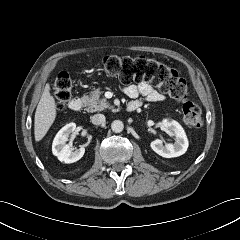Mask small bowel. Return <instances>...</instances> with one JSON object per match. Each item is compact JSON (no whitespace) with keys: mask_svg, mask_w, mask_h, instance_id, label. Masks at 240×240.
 <instances>
[{"mask_svg":"<svg viewBox=\"0 0 240 240\" xmlns=\"http://www.w3.org/2000/svg\"><path fill=\"white\" fill-rule=\"evenodd\" d=\"M122 90L132 99L131 102H137L139 107L143 103L142 99L139 97H143V99L148 102H159L164 100V95L147 82H141L137 85L124 86Z\"/></svg>","mask_w":240,"mask_h":240,"instance_id":"1","label":"small bowel"}]
</instances>
